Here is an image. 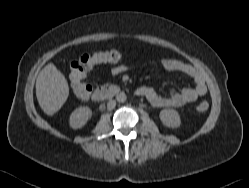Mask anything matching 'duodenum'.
<instances>
[{"mask_svg": "<svg viewBox=\"0 0 249 188\" xmlns=\"http://www.w3.org/2000/svg\"><path fill=\"white\" fill-rule=\"evenodd\" d=\"M120 92V89L118 86L115 85H106L96 88L92 93V99L94 101H102L107 100L115 95H117Z\"/></svg>", "mask_w": 249, "mask_h": 188, "instance_id": "duodenum-1", "label": "duodenum"}]
</instances>
